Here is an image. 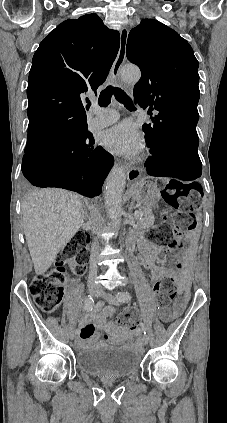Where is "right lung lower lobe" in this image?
Returning <instances> with one entry per match:
<instances>
[{
	"label": "right lung lower lobe",
	"mask_w": 227,
	"mask_h": 423,
	"mask_svg": "<svg viewBox=\"0 0 227 423\" xmlns=\"http://www.w3.org/2000/svg\"><path fill=\"white\" fill-rule=\"evenodd\" d=\"M50 112L49 108L38 110V114ZM113 162L111 154L94 147V138L86 128L25 152L22 172L34 186L63 188L94 198L101 193Z\"/></svg>",
	"instance_id": "98d812e1"
}]
</instances>
